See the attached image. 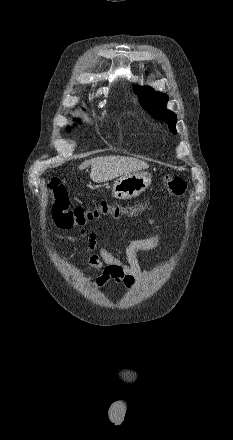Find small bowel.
I'll return each instance as SVG.
<instances>
[{"mask_svg":"<svg viewBox=\"0 0 233 440\" xmlns=\"http://www.w3.org/2000/svg\"><path fill=\"white\" fill-rule=\"evenodd\" d=\"M148 223L155 228L153 220ZM84 234V231H82ZM86 249L89 253L88 263L91 267L101 270V274L96 277L87 278L88 284L94 287H103L108 282L113 281L123 286L125 290L130 289L135 281L147 277V272L142 270L137 259L139 251H150L159 244V235L155 233L146 239L132 241L125 250V261L109 252L104 246L97 244V235L94 231L86 234ZM98 248V253L93 251Z\"/></svg>","mask_w":233,"mask_h":440,"instance_id":"c3829d8e","label":"small bowel"}]
</instances>
